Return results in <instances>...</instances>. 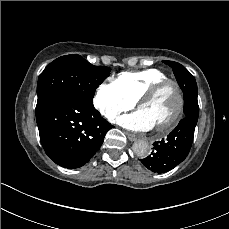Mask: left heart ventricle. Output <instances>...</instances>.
I'll return each mask as SVG.
<instances>
[{"instance_id":"1","label":"left heart ventricle","mask_w":229,"mask_h":229,"mask_svg":"<svg viewBox=\"0 0 229 229\" xmlns=\"http://www.w3.org/2000/svg\"><path fill=\"white\" fill-rule=\"evenodd\" d=\"M174 88H177V86L174 84H168L161 90L153 101L140 107L139 111L144 113L154 128H163L168 126L167 120L174 106L171 94V91Z\"/></svg>"}]
</instances>
